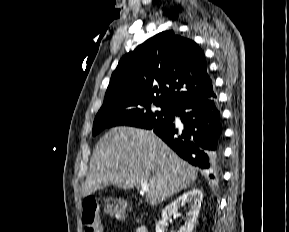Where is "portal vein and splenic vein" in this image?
I'll list each match as a JSON object with an SVG mask.
<instances>
[{
	"instance_id": "18ae733b",
	"label": "portal vein and splenic vein",
	"mask_w": 289,
	"mask_h": 232,
	"mask_svg": "<svg viewBox=\"0 0 289 232\" xmlns=\"http://www.w3.org/2000/svg\"><path fill=\"white\" fill-rule=\"evenodd\" d=\"M141 189H142L143 192H147V191L149 190V187H148V185L143 184V185L141 186Z\"/></svg>"
}]
</instances>
